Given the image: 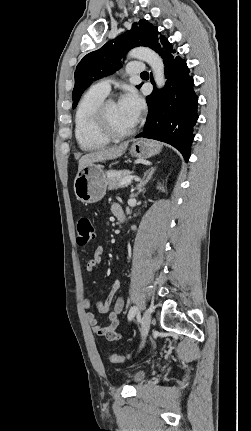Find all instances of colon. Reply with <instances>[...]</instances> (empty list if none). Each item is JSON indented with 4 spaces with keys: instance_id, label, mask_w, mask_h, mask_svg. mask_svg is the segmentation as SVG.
Wrapping results in <instances>:
<instances>
[{
    "instance_id": "colon-1",
    "label": "colon",
    "mask_w": 251,
    "mask_h": 431,
    "mask_svg": "<svg viewBox=\"0 0 251 431\" xmlns=\"http://www.w3.org/2000/svg\"><path fill=\"white\" fill-rule=\"evenodd\" d=\"M76 228H77L78 245L85 246L94 240L95 228L90 218L86 216H81L77 220ZM132 358H133V355L131 354H127V355L112 354L109 359L112 363H123L131 360Z\"/></svg>"
}]
</instances>
